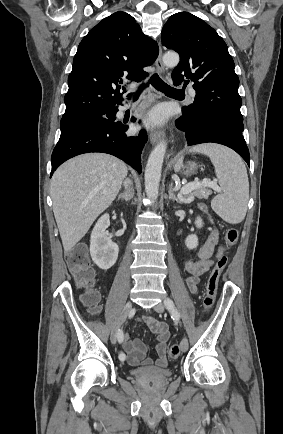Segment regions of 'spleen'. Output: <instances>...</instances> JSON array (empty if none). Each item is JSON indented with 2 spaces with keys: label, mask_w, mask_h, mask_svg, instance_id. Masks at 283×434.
<instances>
[{
  "label": "spleen",
  "mask_w": 283,
  "mask_h": 434,
  "mask_svg": "<svg viewBox=\"0 0 283 434\" xmlns=\"http://www.w3.org/2000/svg\"><path fill=\"white\" fill-rule=\"evenodd\" d=\"M207 155L215 167L222 193L211 202L212 209L230 224L240 223L246 216L249 199V180L241 157L234 151L217 144H202L191 149ZM183 157L175 164L179 171Z\"/></svg>",
  "instance_id": "3e777b00"
}]
</instances>
